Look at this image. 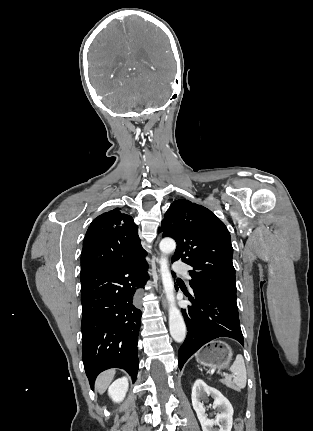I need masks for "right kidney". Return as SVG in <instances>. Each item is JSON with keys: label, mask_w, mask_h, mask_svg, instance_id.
<instances>
[{"label": "right kidney", "mask_w": 313, "mask_h": 431, "mask_svg": "<svg viewBox=\"0 0 313 431\" xmlns=\"http://www.w3.org/2000/svg\"><path fill=\"white\" fill-rule=\"evenodd\" d=\"M128 379L126 377L115 380L108 389L111 399L116 402H122L128 391Z\"/></svg>", "instance_id": "obj_1"}]
</instances>
